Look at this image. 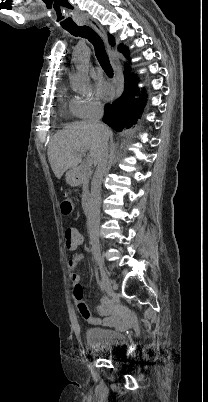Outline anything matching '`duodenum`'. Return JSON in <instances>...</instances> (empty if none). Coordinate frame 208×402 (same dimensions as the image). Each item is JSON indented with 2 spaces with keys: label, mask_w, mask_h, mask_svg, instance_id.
I'll list each match as a JSON object with an SVG mask.
<instances>
[{
  "label": "duodenum",
  "mask_w": 208,
  "mask_h": 402,
  "mask_svg": "<svg viewBox=\"0 0 208 402\" xmlns=\"http://www.w3.org/2000/svg\"><path fill=\"white\" fill-rule=\"evenodd\" d=\"M82 206L85 212L90 211V197L88 195L83 197Z\"/></svg>",
  "instance_id": "duodenum-1"
}]
</instances>
